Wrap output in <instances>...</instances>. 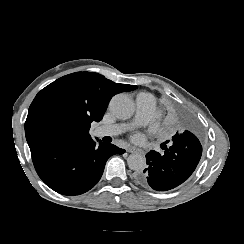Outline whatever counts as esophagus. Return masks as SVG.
Returning a JSON list of instances; mask_svg holds the SVG:
<instances>
[{"label":"esophagus","instance_id":"34e87169","mask_svg":"<svg viewBox=\"0 0 244 244\" xmlns=\"http://www.w3.org/2000/svg\"><path fill=\"white\" fill-rule=\"evenodd\" d=\"M126 151L129 153H140L141 155H144L143 151H137L135 148L129 145L126 147Z\"/></svg>","mask_w":244,"mask_h":244}]
</instances>
